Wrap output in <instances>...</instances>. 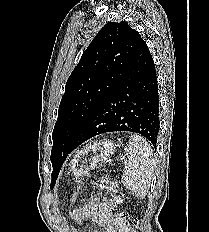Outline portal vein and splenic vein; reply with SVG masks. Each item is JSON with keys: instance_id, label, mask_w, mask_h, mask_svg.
<instances>
[{"instance_id": "18ae733b", "label": "portal vein and splenic vein", "mask_w": 209, "mask_h": 232, "mask_svg": "<svg viewBox=\"0 0 209 232\" xmlns=\"http://www.w3.org/2000/svg\"><path fill=\"white\" fill-rule=\"evenodd\" d=\"M121 160H125V158H124V157H121Z\"/></svg>"}]
</instances>
